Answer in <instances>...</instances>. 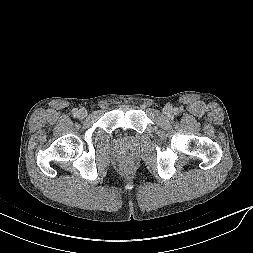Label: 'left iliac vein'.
I'll use <instances>...</instances> for the list:
<instances>
[{"mask_svg":"<svg viewBox=\"0 0 253 253\" xmlns=\"http://www.w3.org/2000/svg\"><path fill=\"white\" fill-rule=\"evenodd\" d=\"M164 114H166L167 116H170L172 113V109L170 107H165L163 110Z\"/></svg>","mask_w":253,"mask_h":253,"instance_id":"left-iliac-vein-1","label":"left iliac vein"}]
</instances>
